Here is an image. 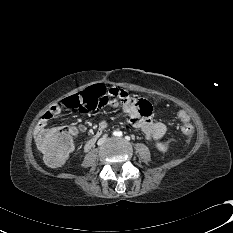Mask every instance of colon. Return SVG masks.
Instances as JSON below:
<instances>
[{
    "instance_id": "obj_1",
    "label": "colon",
    "mask_w": 233,
    "mask_h": 233,
    "mask_svg": "<svg viewBox=\"0 0 233 233\" xmlns=\"http://www.w3.org/2000/svg\"><path fill=\"white\" fill-rule=\"evenodd\" d=\"M109 90L101 84H95L76 95L64 99V106L68 109H79L82 111L94 110L101 97L108 93ZM173 112L176 115V119L182 123V133L190 137L194 133V127L185 109L177 107ZM75 137L76 132L73 127L53 128L38 131L35 141L44 159L49 164L58 166L63 164L73 151Z\"/></svg>"
}]
</instances>
